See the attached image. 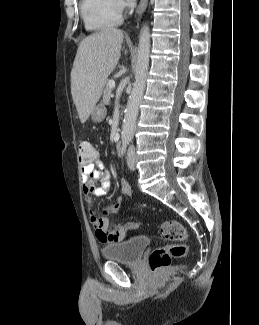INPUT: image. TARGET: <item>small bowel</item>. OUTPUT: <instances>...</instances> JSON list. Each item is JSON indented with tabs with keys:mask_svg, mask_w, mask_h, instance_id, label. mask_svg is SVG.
Returning a JSON list of instances; mask_svg holds the SVG:
<instances>
[{
	"mask_svg": "<svg viewBox=\"0 0 259 325\" xmlns=\"http://www.w3.org/2000/svg\"><path fill=\"white\" fill-rule=\"evenodd\" d=\"M81 164L82 189L88 206L90 221L94 227L96 238L102 243H116L125 238V229H109L108 220L97 214L93 207L92 197H105L111 188V176L105 169L99 153L96 151L94 159L89 163ZM99 183L97 185L96 183ZM121 193L131 195V186L126 180L120 183Z\"/></svg>",
	"mask_w": 259,
	"mask_h": 325,
	"instance_id": "1",
	"label": "small bowel"
}]
</instances>
